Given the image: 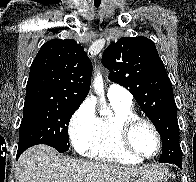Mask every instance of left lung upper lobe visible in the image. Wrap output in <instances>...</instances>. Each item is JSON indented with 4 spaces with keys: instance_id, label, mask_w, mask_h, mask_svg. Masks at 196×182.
I'll use <instances>...</instances> for the list:
<instances>
[{
    "instance_id": "obj_1",
    "label": "left lung upper lobe",
    "mask_w": 196,
    "mask_h": 182,
    "mask_svg": "<svg viewBox=\"0 0 196 182\" xmlns=\"http://www.w3.org/2000/svg\"><path fill=\"white\" fill-rule=\"evenodd\" d=\"M102 63L110 71L109 79L132 93L158 130L162 147L174 148L182 158L172 84L154 42L122 37L106 48Z\"/></svg>"
}]
</instances>
